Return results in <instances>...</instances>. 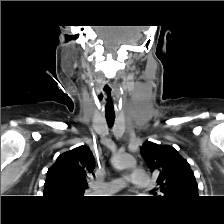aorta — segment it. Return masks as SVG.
I'll return each mask as SVG.
<instances>
[{"mask_svg":"<svg viewBox=\"0 0 224 224\" xmlns=\"http://www.w3.org/2000/svg\"><path fill=\"white\" fill-rule=\"evenodd\" d=\"M113 165L118 170L134 168L136 166V159L129 154H118L113 158Z\"/></svg>","mask_w":224,"mask_h":224,"instance_id":"762f6f07","label":"aorta"}]
</instances>
